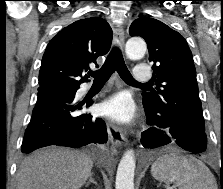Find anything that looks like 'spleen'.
Returning a JSON list of instances; mask_svg holds the SVG:
<instances>
[{"label": "spleen", "mask_w": 223, "mask_h": 189, "mask_svg": "<svg viewBox=\"0 0 223 189\" xmlns=\"http://www.w3.org/2000/svg\"><path fill=\"white\" fill-rule=\"evenodd\" d=\"M151 174L160 182L175 184L178 189H218L213 174L202 161L177 153L158 158Z\"/></svg>", "instance_id": "spleen-1"}]
</instances>
